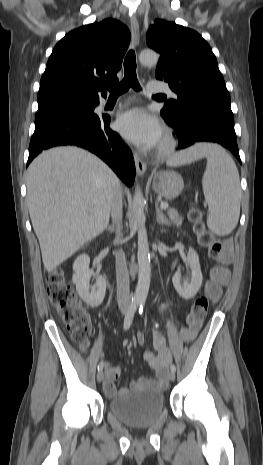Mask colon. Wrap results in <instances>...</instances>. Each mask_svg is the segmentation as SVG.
Returning a JSON list of instances; mask_svg holds the SVG:
<instances>
[{"mask_svg":"<svg viewBox=\"0 0 263 465\" xmlns=\"http://www.w3.org/2000/svg\"><path fill=\"white\" fill-rule=\"evenodd\" d=\"M189 217L193 223L199 244L207 249L212 258H218L222 252V245L205 228L200 211L192 209ZM48 296L72 339L82 346H86L91 332V319L66 280L63 271L56 270L50 274L48 278ZM209 303L210 300L207 295H202L195 300L186 319L190 330L195 331L199 323L202 322Z\"/></svg>","mask_w":263,"mask_h":465,"instance_id":"colon-1","label":"colon"}]
</instances>
